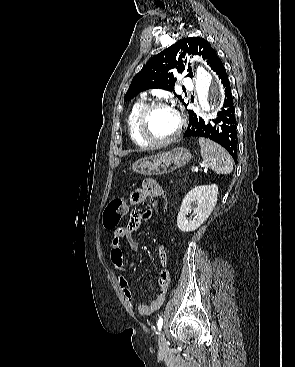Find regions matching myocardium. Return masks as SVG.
<instances>
[{
    "label": "myocardium",
    "mask_w": 295,
    "mask_h": 367,
    "mask_svg": "<svg viewBox=\"0 0 295 367\" xmlns=\"http://www.w3.org/2000/svg\"><path fill=\"white\" fill-rule=\"evenodd\" d=\"M157 108L172 109V107L164 101H153V102L147 103L139 113V116L137 119V132L140 138L144 142H146L148 145L165 146V145L171 144L172 142L176 141L177 138L181 135L183 127H184V121L182 117L178 113H176L178 116V128L175 131V133L166 139H155L149 134L147 125H148V119H149L151 112Z\"/></svg>",
    "instance_id": "myocardium-1"
}]
</instances>
